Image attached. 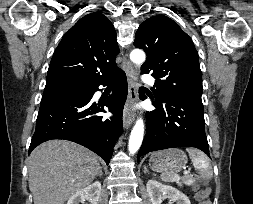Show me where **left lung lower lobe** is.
I'll list each match as a JSON object with an SVG mask.
<instances>
[{"label": "left lung lower lobe", "instance_id": "obj_1", "mask_svg": "<svg viewBox=\"0 0 253 204\" xmlns=\"http://www.w3.org/2000/svg\"><path fill=\"white\" fill-rule=\"evenodd\" d=\"M153 106L156 110L146 112L147 132L137 159L172 147H195L210 156L201 97L162 99Z\"/></svg>", "mask_w": 253, "mask_h": 204}]
</instances>
